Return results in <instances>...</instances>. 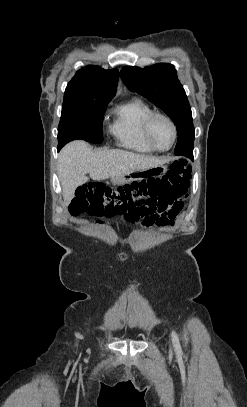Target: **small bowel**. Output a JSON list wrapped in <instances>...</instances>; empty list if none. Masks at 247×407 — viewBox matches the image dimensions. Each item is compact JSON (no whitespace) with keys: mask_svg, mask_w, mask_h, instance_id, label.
I'll return each mask as SVG.
<instances>
[{"mask_svg":"<svg viewBox=\"0 0 247 407\" xmlns=\"http://www.w3.org/2000/svg\"><path fill=\"white\" fill-rule=\"evenodd\" d=\"M183 210L182 200L169 202L164 199H146L136 210L119 216L122 220L140 224L143 228L173 226Z\"/></svg>","mask_w":247,"mask_h":407,"instance_id":"obj_1","label":"small bowel"}]
</instances>
